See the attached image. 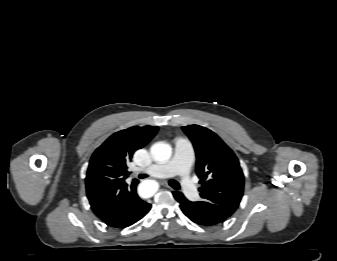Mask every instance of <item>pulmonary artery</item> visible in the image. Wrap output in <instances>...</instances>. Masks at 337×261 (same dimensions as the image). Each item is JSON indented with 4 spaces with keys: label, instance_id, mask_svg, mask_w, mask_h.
<instances>
[{
    "label": "pulmonary artery",
    "instance_id": "e3ab8cb5",
    "mask_svg": "<svg viewBox=\"0 0 337 261\" xmlns=\"http://www.w3.org/2000/svg\"><path fill=\"white\" fill-rule=\"evenodd\" d=\"M193 158L194 149L192 143L185 139H177L173 158L165 164L151 165L145 172L158 178L178 175L183 192L189 199L194 200L198 197V191L189 177Z\"/></svg>",
    "mask_w": 337,
    "mask_h": 261
}]
</instances>
